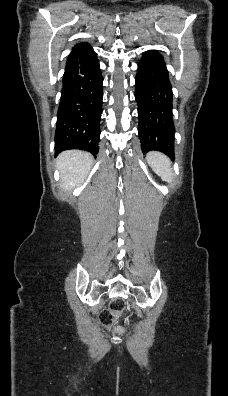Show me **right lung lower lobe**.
I'll list each match as a JSON object with an SVG mask.
<instances>
[{"instance_id":"1","label":"right lung lower lobe","mask_w":228,"mask_h":396,"mask_svg":"<svg viewBox=\"0 0 228 396\" xmlns=\"http://www.w3.org/2000/svg\"><path fill=\"white\" fill-rule=\"evenodd\" d=\"M103 78L91 46L68 56L55 132L56 155L81 149L96 155L100 138Z\"/></svg>"}]
</instances>
